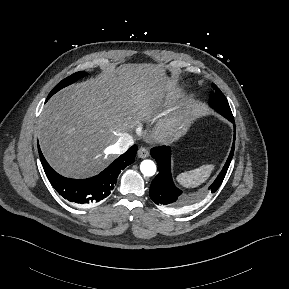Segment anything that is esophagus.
Masks as SVG:
<instances>
[{"label": "esophagus", "instance_id": "obj_1", "mask_svg": "<svg viewBox=\"0 0 289 289\" xmlns=\"http://www.w3.org/2000/svg\"><path fill=\"white\" fill-rule=\"evenodd\" d=\"M149 156V151L145 147H141L138 150V157L139 158H147Z\"/></svg>", "mask_w": 289, "mask_h": 289}]
</instances>
